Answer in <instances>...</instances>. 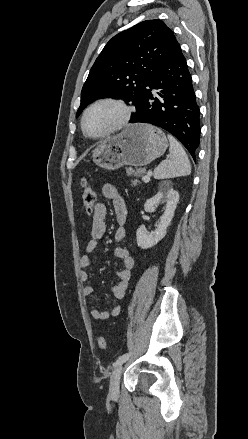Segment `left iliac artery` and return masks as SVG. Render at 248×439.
Wrapping results in <instances>:
<instances>
[{
  "instance_id": "1",
  "label": "left iliac artery",
  "mask_w": 248,
  "mask_h": 439,
  "mask_svg": "<svg viewBox=\"0 0 248 439\" xmlns=\"http://www.w3.org/2000/svg\"><path fill=\"white\" fill-rule=\"evenodd\" d=\"M130 357V353H125L122 356H120L116 362L113 364L114 367L118 366L119 364L124 363L128 358Z\"/></svg>"
}]
</instances>
